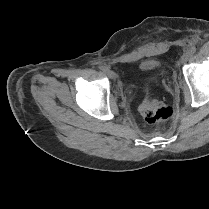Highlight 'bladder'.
I'll list each match as a JSON object with an SVG mask.
<instances>
[{
    "label": "bladder",
    "mask_w": 209,
    "mask_h": 209,
    "mask_svg": "<svg viewBox=\"0 0 209 209\" xmlns=\"http://www.w3.org/2000/svg\"><path fill=\"white\" fill-rule=\"evenodd\" d=\"M159 62L155 59H144L140 62L139 67L143 71H151L157 68Z\"/></svg>",
    "instance_id": "31cf9c89"
}]
</instances>
